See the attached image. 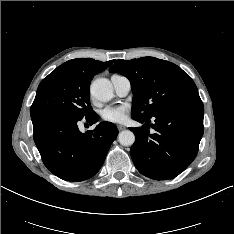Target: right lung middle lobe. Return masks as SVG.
<instances>
[{"instance_id":"right-lung-middle-lobe-1","label":"right lung middle lobe","mask_w":234,"mask_h":234,"mask_svg":"<svg viewBox=\"0 0 234 234\" xmlns=\"http://www.w3.org/2000/svg\"><path fill=\"white\" fill-rule=\"evenodd\" d=\"M89 83L67 69L56 68L38 86L30 113L62 111L76 117L94 113L90 105Z\"/></svg>"}]
</instances>
